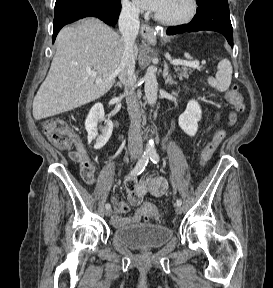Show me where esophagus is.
Masks as SVG:
<instances>
[{
	"mask_svg": "<svg viewBox=\"0 0 273 288\" xmlns=\"http://www.w3.org/2000/svg\"><path fill=\"white\" fill-rule=\"evenodd\" d=\"M157 32L158 30L155 27L148 24H143L141 26V35L144 39L150 40L157 34Z\"/></svg>",
	"mask_w": 273,
	"mask_h": 288,
	"instance_id": "esophagus-1",
	"label": "esophagus"
}]
</instances>
